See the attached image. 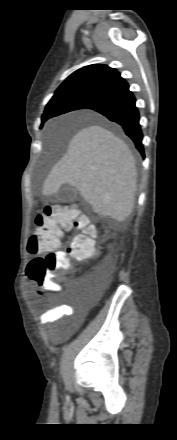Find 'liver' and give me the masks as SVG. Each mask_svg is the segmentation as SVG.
Returning <instances> with one entry per match:
<instances>
[{"label": "liver", "mask_w": 177, "mask_h": 440, "mask_svg": "<svg viewBox=\"0 0 177 440\" xmlns=\"http://www.w3.org/2000/svg\"><path fill=\"white\" fill-rule=\"evenodd\" d=\"M136 178L135 158L128 145L111 131L92 125L70 140L66 154L46 178L42 194L53 195L69 184L95 213L122 222L134 207Z\"/></svg>", "instance_id": "obj_1"}]
</instances>
